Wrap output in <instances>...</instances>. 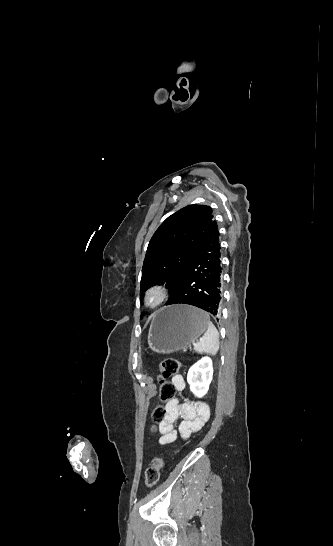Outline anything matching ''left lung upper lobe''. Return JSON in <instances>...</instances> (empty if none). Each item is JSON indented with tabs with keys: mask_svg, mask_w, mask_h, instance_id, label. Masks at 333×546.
I'll return each instance as SVG.
<instances>
[{
	"mask_svg": "<svg viewBox=\"0 0 333 546\" xmlns=\"http://www.w3.org/2000/svg\"><path fill=\"white\" fill-rule=\"evenodd\" d=\"M213 222L212 209L204 205H189L169 216L149 242L140 290L166 283L172 294Z\"/></svg>",
	"mask_w": 333,
	"mask_h": 546,
	"instance_id": "left-lung-upper-lobe-1",
	"label": "left lung upper lobe"
}]
</instances>
